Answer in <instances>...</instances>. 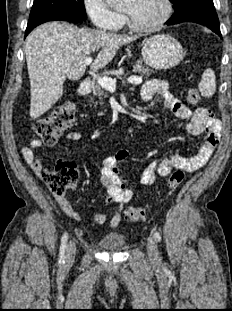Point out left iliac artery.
<instances>
[{"mask_svg":"<svg viewBox=\"0 0 232 311\" xmlns=\"http://www.w3.org/2000/svg\"><path fill=\"white\" fill-rule=\"evenodd\" d=\"M154 237H155V239H156L158 242L161 241V235H160V233H159L158 231H155Z\"/></svg>","mask_w":232,"mask_h":311,"instance_id":"44dca946","label":"left iliac artery"}]
</instances>
